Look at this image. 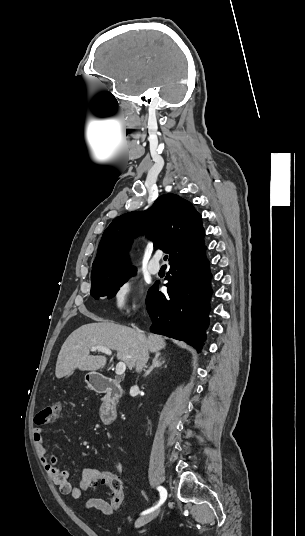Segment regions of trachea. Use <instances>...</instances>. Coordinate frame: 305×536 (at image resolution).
Instances as JSON below:
<instances>
[{
  "instance_id": "obj_1",
  "label": "trachea",
  "mask_w": 305,
  "mask_h": 536,
  "mask_svg": "<svg viewBox=\"0 0 305 536\" xmlns=\"http://www.w3.org/2000/svg\"><path fill=\"white\" fill-rule=\"evenodd\" d=\"M167 258H168V256H167V255H165V256H164V260H167Z\"/></svg>"
}]
</instances>
